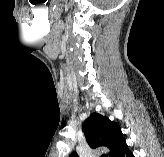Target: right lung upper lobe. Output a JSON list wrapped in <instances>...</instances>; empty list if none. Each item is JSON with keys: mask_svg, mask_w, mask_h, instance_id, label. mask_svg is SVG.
<instances>
[{"mask_svg": "<svg viewBox=\"0 0 164 157\" xmlns=\"http://www.w3.org/2000/svg\"><path fill=\"white\" fill-rule=\"evenodd\" d=\"M83 132L91 148L105 146L109 149L104 157H114L124 143L123 134L118 123L110 121L98 113H92L82 125ZM69 157H79L76 152Z\"/></svg>", "mask_w": 164, "mask_h": 157, "instance_id": "1", "label": "right lung upper lobe"}]
</instances>
